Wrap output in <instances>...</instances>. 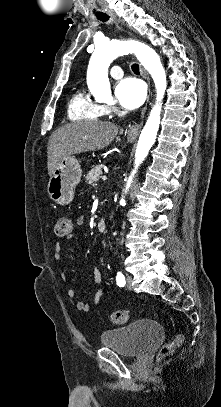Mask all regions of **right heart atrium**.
Returning a JSON list of instances; mask_svg holds the SVG:
<instances>
[{
  "mask_svg": "<svg viewBox=\"0 0 221 407\" xmlns=\"http://www.w3.org/2000/svg\"><path fill=\"white\" fill-rule=\"evenodd\" d=\"M103 109L107 112V113H114L116 112V108L114 106H107L104 105Z\"/></svg>",
  "mask_w": 221,
  "mask_h": 407,
  "instance_id": "right-heart-atrium-1",
  "label": "right heart atrium"
}]
</instances>
